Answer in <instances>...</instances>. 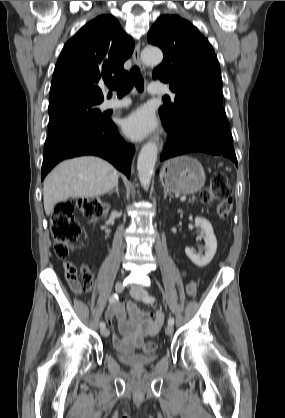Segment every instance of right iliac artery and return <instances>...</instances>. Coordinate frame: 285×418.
<instances>
[{"label": "right iliac artery", "mask_w": 285, "mask_h": 418, "mask_svg": "<svg viewBox=\"0 0 285 418\" xmlns=\"http://www.w3.org/2000/svg\"><path fill=\"white\" fill-rule=\"evenodd\" d=\"M117 301H118V295H117V294H113V295L109 298V302H110L111 304H113V303H115V302H117ZM100 328H101V329L105 328V323H104V322H101V323H100Z\"/></svg>", "instance_id": "obj_1"}]
</instances>
